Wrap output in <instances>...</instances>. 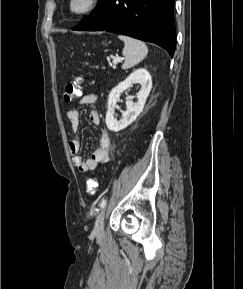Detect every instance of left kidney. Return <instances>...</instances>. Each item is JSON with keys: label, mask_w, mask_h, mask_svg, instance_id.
Returning a JSON list of instances; mask_svg holds the SVG:
<instances>
[{"label": "left kidney", "mask_w": 243, "mask_h": 289, "mask_svg": "<svg viewBox=\"0 0 243 289\" xmlns=\"http://www.w3.org/2000/svg\"><path fill=\"white\" fill-rule=\"evenodd\" d=\"M136 82H140L142 87L140 91L136 94L138 99L137 102H133L130 97L126 101L127 110L122 113V118L117 120L115 118V108L116 103L123 91L132 87ZM152 88V79L151 75L146 69H138L134 71L129 77L119 83L116 87L112 89L108 98V109L106 113V125L107 128L111 131L118 132L129 126L143 111L146 99Z\"/></svg>", "instance_id": "5707ae66"}]
</instances>
